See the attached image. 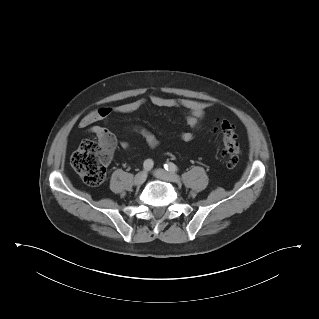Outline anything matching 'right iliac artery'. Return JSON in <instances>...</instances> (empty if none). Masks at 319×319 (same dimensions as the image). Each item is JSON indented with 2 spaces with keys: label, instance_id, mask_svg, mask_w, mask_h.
I'll list each match as a JSON object with an SVG mask.
<instances>
[{
  "label": "right iliac artery",
  "instance_id": "obj_1",
  "mask_svg": "<svg viewBox=\"0 0 319 319\" xmlns=\"http://www.w3.org/2000/svg\"><path fill=\"white\" fill-rule=\"evenodd\" d=\"M143 167H144V170L150 171L151 168L153 167V161L151 159L145 160Z\"/></svg>",
  "mask_w": 319,
  "mask_h": 319
}]
</instances>
